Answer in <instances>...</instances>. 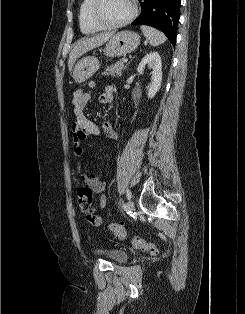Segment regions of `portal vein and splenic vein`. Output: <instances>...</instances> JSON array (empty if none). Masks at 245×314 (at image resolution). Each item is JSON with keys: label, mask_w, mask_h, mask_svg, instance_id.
<instances>
[{"label": "portal vein and splenic vein", "mask_w": 245, "mask_h": 314, "mask_svg": "<svg viewBox=\"0 0 245 314\" xmlns=\"http://www.w3.org/2000/svg\"><path fill=\"white\" fill-rule=\"evenodd\" d=\"M127 61H128V59H127V58H124V59H123V62H124V63H126Z\"/></svg>", "instance_id": "portal-vein-and-splenic-vein-1"}]
</instances>
